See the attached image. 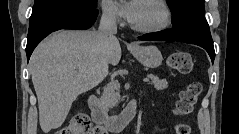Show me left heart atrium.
Wrapping results in <instances>:
<instances>
[{
  "instance_id": "obj_1",
  "label": "left heart atrium",
  "mask_w": 239,
  "mask_h": 134,
  "mask_svg": "<svg viewBox=\"0 0 239 134\" xmlns=\"http://www.w3.org/2000/svg\"><path fill=\"white\" fill-rule=\"evenodd\" d=\"M138 5L139 2L133 0V1H125L120 6L123 17L130 23L133 22V20L137 15Z\"/></svg>"
}]
</instances>
